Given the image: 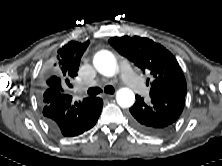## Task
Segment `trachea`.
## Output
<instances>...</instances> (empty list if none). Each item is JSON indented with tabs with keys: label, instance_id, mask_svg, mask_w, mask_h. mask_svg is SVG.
<instances>
[{
	"label": "trachea",
	"instance_id": "3493384b",
	"mask_svg": "<svg viewBox=\"0 0 222 166\" xmlns=\"http://www.w3.org/2000/svg\"><path fill=\"white\" fill-rule=\"evenodd\" d=\"M100 92H102V90H101L99 87H93V88H89V89L87 90V94H88L89 96H95V95L99 94ZM104 92H105V93H108V94H113V93H114V88H113V86H110V85L106 86V87L104 88Z\"/></svg>",
	"mask_w": 222,
	"mask_h": 166
}]
</instances>
